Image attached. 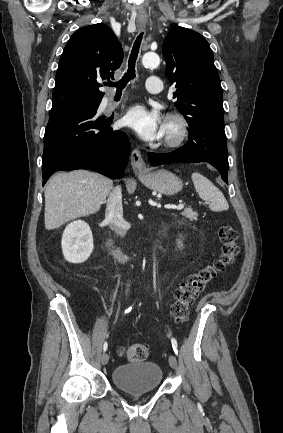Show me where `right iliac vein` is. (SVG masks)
I'll return each mask as SVG.
<instances>
[{
  "label": "right iliac vein",
  "mask_w": 283,
  "mask_h": 433,
  "mask_svg": "<svg viewBox=\"0 0 283 433\" xmlns=\"http://www.w3.org/2000/svg\"><path fill=\"white\" fill-rule=\"evenodd\" d=\"M108 360H109L108 355H107L106 353H104V354L101 356V363H102L103 365H106V364L108 363Z\"/></svg>",
  "instance_id": "right-iliac-vein-1"
}]
</instances>
